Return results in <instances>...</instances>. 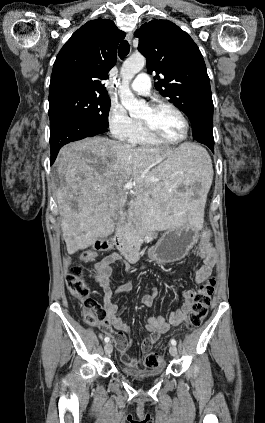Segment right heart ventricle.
I'll return each instance as SVG.
<instances>
[{
    "mask_svg": "<svg viewBox=\"0 0 265 423\" xmlns=\"http://www.w3.org/2000/svg\"><path fill=\"white\" fill-rule=\"evenodd\" d=\"M130 143L134 145H139L141 147H156L160 146L163 143L155 140L154 138L150 137L142 128L139 122L136 123L135 129L131 138L128 140Z\"/></svg>",
    "mask_w": 265,
    "mask_h": 423,
    "instance_id": "e07e8e85",
    "label": "right heart ventricle"
}]
</instances>
